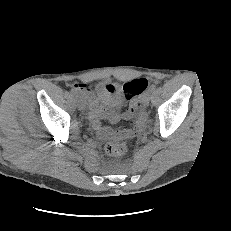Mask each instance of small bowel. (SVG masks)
Here are the masks:
<instances>
[{
  "mask_svg": "<svg viewBox=\"0 0 231 231\" xmlns=\"http://www.w3.org/2000/svg\"><path fill=\"white\" fill-rule=\"evenodd\" d=\"M75 88L86 96L92 126L97 131V135L101 140H107L109 138L117 139L124 134H129L131 132V130H127L125 132L113 130L109 126H104L103 123L109 122L115 124L122 119L130 120L134 118L135 110H131L129 107L127 111L120 113L113 109L102 106L92 91L84 85H75ZM144 119V115L139 114L136 118V126H141Z\"/></svg>",
  "mask_w": 231,
  "mask_h": 231,
  "instance_id": "obj_1",
  "label": "small bowel"
}]
</instances>
